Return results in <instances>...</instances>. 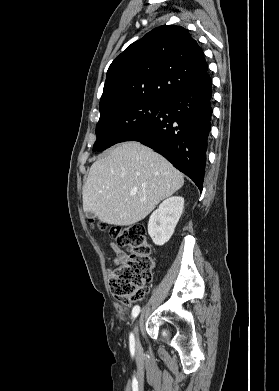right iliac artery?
<instances>
[{
  "mask_svg": "<svg viewBox=\"0 0 279 391\" xmlns=\"http://www.w3.org/2000/svg\"><path fill=\"white\" fill-rule=\"evenodd\" d=\"M139 312H140V307L138 305L134 306V308L132 310V317L136 318L138 316ZM134 343H135L134 342V336L131 333V335H130V345L134 346Z\"/></svg>",
  "mask_w": 279,
  "mask_h": 391,
  "instance_id": "obj_1",
  "label": "right iliac artery"
}]
</instances>
